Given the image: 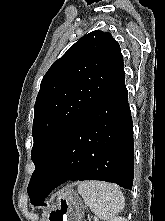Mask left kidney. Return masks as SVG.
I'll return each mask as SVG.
<instances>
[{
  "label": "left kidney",
  "mask_w": 165,
  "mask_h": 221,
  "mask_svg": "<svg viewBox=\"0 0 165 221\" xmlns=\"http://www.w3.org/2000/svg\"><path fill=\"white\" fill-rule=\"evenodd\" d=\"M109 221H127V219H125L124 217L117 216L111 218Z\"/></svg>",
  "instance_id": "obj_1"
}]
</instances>
